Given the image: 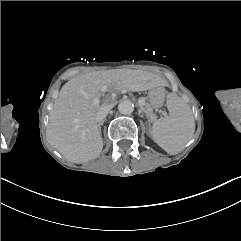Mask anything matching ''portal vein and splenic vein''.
I'll return each mask as SVG.
<instances>
[{"instance_id": "1", "label": "portal vein and splenic vein", "mask_w": 241, "mask_h": 241, "mask_svg": "<svg viewBox=\"0 0 241 241\" xmlns=\"http://www.w3.org/2000/svg\"><path fill=\"white\" fill-rule=\"evenodd\" d=\"M139 103H140V105H142V106H143V105H145V103H146V102H145V100H143V99H142V100H140V102H139Z\"/></svg>"}]
</instances>
